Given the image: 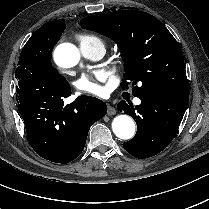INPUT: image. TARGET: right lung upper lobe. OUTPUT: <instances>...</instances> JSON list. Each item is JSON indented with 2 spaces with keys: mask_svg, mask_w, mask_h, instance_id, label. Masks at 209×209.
Returning a JSON list of instances; mask_svg holds the SVG:
<instances>
[{
  "mask_svg": "<svg viewBox=\"0 0 209 209\" xmlns=\"http://www.w3.org/2000/svg\"><path fill=\"white\" fill-rule=\"evenodd\" d=\"M60 20H62V19H60ZM56 21H57V20H56ZM53 23H55V21H50V22L44 24V25L41 26V27H42V28H46V27L50 26V25L53 24Z\"/></svg>",
  "mask_w": 209,
  "mask_h": 209,
  "instance_id": "obj_1",
  "label": "right lung upper lobe"
}]
</instances>
